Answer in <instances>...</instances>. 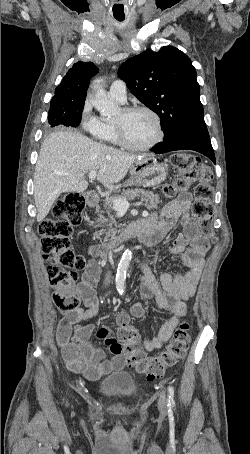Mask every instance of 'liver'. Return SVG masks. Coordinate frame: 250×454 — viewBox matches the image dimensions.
I'll return each instance as SVG.
<instances>
[{"label":"liver","mask_w":250,"mask_h":454,"mask_svg":"<svg viewBox=\"0 0 250 454\" xmlns=\"http://www.w3.org/2000/svg\"><path fill=\"white\" fill-rule=\"evenodd\" d=\"M140 157L80 133H51L42 144L34 172L37 221L44 220L61 193L84 192L88 187L84 176L88 172L98 171L97 180L107 188H115Z\"/></svg>","instance_id":"6515ba94"}]
</instances>
